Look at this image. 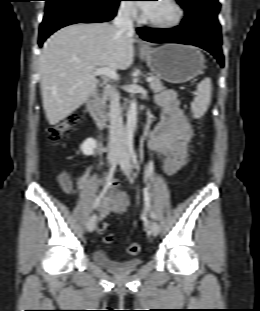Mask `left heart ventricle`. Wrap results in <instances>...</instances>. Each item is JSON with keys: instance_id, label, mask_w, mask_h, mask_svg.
Returning a JSON list of instances; mask_svg holds the SVG:
<instances>
[{"instance_id": "obj_1", "label": "left heart ventricle", "mask_w": 260, "mask_h": 311, "mask_svg": "<svg viewBox=\"0 0 260 311\" xmlns=\"http://www.w3.org/2000/svg\"><path fill=\"white\" fill-rule=\"evenodd\" d=\"M146 16L156 22H167L173 19L175 11L167 0H158Z\"/></svg>"}]
</instances>
